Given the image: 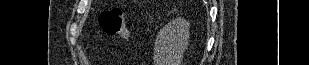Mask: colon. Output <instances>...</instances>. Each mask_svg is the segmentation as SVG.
<instances>
[{
  "mask_svg": "<svg viewBox=\"0 0 309 65\" xmlns=\"http://www.w3.org/2000/svg\"><path fill=\"white\" fill-rule=\"evenodd\" d=\"M125 13L118 8L103 12L99 17L100 27L110 36L122 38L126 36Z\"/></svg>",
  "mask_w": 309,
  "mask_h": 65,
  "instance_id": "5ec220e1",
  "label": "colon"
}]
</instances>
